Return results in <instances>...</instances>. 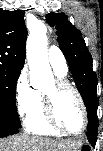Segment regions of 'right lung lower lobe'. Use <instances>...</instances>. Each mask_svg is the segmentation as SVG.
<instances>
[{
    "label": "right lung lower lobe",
    "mask_w": 103,
    "mask_h": 151,
    "mask_svg": "<svg viewBox=\"0 0 103 151\" xmlns=\"http://www.w3.org/2000/svg\"><path fill=\"white\" fill-rule=\"evenodd\" d=\"M19 132V129L12 128L0 123V137H5L9 135H13Z\"/></svg>",
    "instance_id": "1"
}]
</instances>
